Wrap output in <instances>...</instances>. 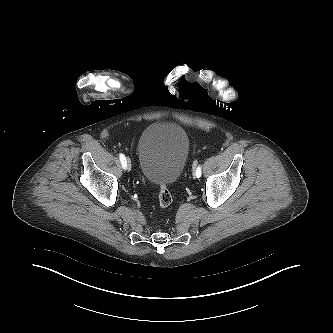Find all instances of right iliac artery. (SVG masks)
Segmentation results:
<instances>
[{"label": "right iliac artery", "mask_w": 333, "mask_h": 333, "mask_svg": "<svg viewBox=\"0 0 333 333\" xmlns=\"http://www.w3.org/2000/svg\"><path fill=\"white\" fill-rule=\"evenodd\" d=\"M119 158H120L123 168L125 169L126 168V158H125L124 154L120 153Z\"/></svg>", "instance_id": "1"}]
</instances>
